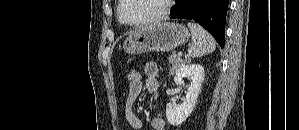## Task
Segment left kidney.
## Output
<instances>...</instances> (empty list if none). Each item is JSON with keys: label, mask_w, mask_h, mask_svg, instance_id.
<instances>
[{"label": "left kidney", "mask_w": 299, "mask_h": 130, "mask_svg": "<svg viewBox=\"0 0 299 130\" xmlns=\"http://www.w3.org/2000/svg\"><path fill=\"white\" fill-rule=\"evenodd\" d=\"M204 68L199 64H182L175 72L174 82L183 85V78L191 79L187 87L186 98L182 104L168 103L166 106V117L170 125H181L194 110L202 82L204 80Z\"/></svg>", "instance_id": "left-kidney-1"}]
</instances>
